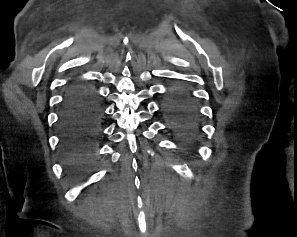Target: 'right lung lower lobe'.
I'll list each match as a JSON object with an SVG mask.
<instances>
[{"label":"right lung lower lobe","instance_id":"98d812e1","mask_svg":"<svg viewBox=\"0 0 297 237\" xmlns=\"http://www.w3.org/2000/svg\"><path fill=\"white\" fill-rule=\"evenodd\" d=\"M99 113L91 88L83 85L70 88L60 124L61 150L64 161L71 170H82L94 160Z\"/></svg>","mask_w":297,"mask_h":237}]
</instances>
